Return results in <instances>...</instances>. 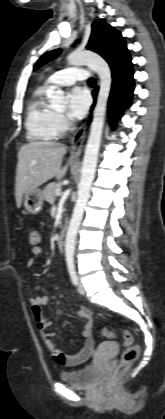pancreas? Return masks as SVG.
<instances>
[{"label":"pancreas","mask_w":165,"mask_h":419,"mask_svg":"<svg viewBox=\"0 0 165 419\" xmlns=\"http://www.w3.org/2000/svg\"><path fill=\"white\" fill-rule=\"evenodd\" d=\"M59 188L60 186L56 182L48 183L43 190L44 199L49 203H53L56 197L55 190Z\"/></svg>","instance_id":"pancreas-1"}]
</instances>
